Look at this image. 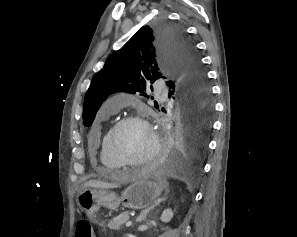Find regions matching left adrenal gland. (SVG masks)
I'll return each mask as SVG.
<instances>
[{"instance_id": "1", "label": "left adrenal gland", "mask_w": 297, "mask_h": 237, "mask_svg": "<svg viewBox=\"0 0 297 237\" xmlns=\"http://www.w3.org/2000/svg\"><path fill=\"white\" fill-rule=\"evenodd\" d=\"M169 190H166L164 196L160 199H158L155 204H153L151 207H149L146 210H143L141 212V214L139 215V217L137 218V222H142L146 219L147 214L149 213L150 210L154 209L155 206H158L161 202H164L167 199V194H168Z\"/></svg>"}]
</instances>
